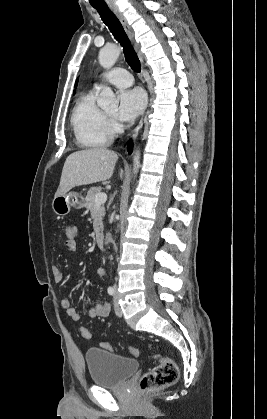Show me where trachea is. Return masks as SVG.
<instances>
[{
	"label": "trachea",
	"instance_id": "3493384b",
	"mask_svg": "<svg viewBox=\"0 0 267 419\" xmlns=\"http://www.w3.org/2000/svg\"><path fill=\"white\" fill-rule=\"evenodd\" d=\"M94 8L99 13L102 21L109 28L110 32L113 34L114 38L121 44L123 47V52L125 55L126 62L128 65L135 71H141L140 61L116 15L108 8L104 6H94Z\"/></svg>",
	"mask_w": 267,
	"mask_h": 419
}]
</instances>
